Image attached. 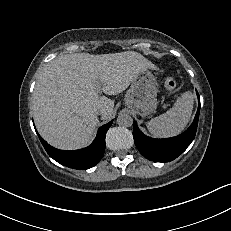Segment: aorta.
<instances>
[{
    "mask_svg": "<svg viewBox=\"0 0 231 231\" xmlns=\"http://www.w3.org/2000/svg\"><path fill=\"white\" fill-rule=\"evenodd\" d=\"M117 124L121 127H130L133 124V118L126 113H121L117 117Z\"/></svg>",
    "mask_w": 231,
    "mask_h": 231,
    "instance_id": "762f6f07",
    "label": "aorta"
}]
</instances>
